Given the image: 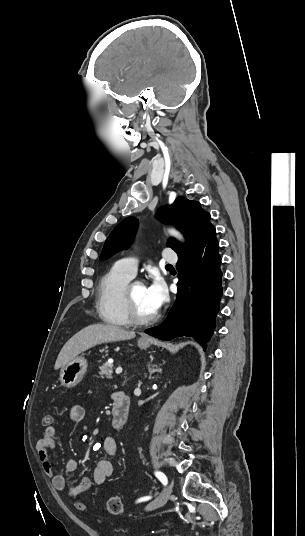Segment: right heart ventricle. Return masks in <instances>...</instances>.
Wrapping results in <instances>:
<instances>
[{
	"mask_svg": "<svg viewBox=\"0 0 305 536\" xmlns=\"http://www.w3.org/2000/svg\"><path fill=\"white\" fill-rule=\"evenodd\" d=\"M131 279L116 266L102 277L96 300V309L101 320L121 327L132 324L123 304V292Z\"/></svg>",
	"mask_w": 305,
	"mask_h": 536,
	"instance_id": "right-heart-ventricle-1",
	"label": "right heart ventricle"
}]
</instances>
